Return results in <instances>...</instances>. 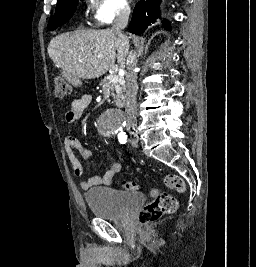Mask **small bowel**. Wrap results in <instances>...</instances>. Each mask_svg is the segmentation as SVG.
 <instances>
[{
    "label": "small bowel",
    "instance_id": "obj_1",
    "mask_svg": "<svg viewBox=\"0 0 256 267\" xmlns=\"http://www.w3.org/2000/svg\"><path fill=\"white\" fill-rule=\"evenodd\" d=\"M91 101L92 97L90 94H83L79 98L74 99L71 102L70 109L65 114V121L67 123H72L81 118L84 111L90 105ZM64 145L68 159L73 169V173L77 177L83 176L84 168L76 154V151L80 152L86 160H89L91 158L90 150L85 148L82 142L72 134L68 135L65 138ZM120 169L121 162L115 161L109 165L108 170L104 175H98L92 178L83 179L80 183V186L83 190H88L94 186H108L113 182L115 175L120 171Z\"/></svg>",
    "mask_w": 256,
    "mask_h": 267
}]
</instances>
